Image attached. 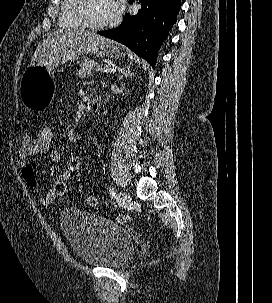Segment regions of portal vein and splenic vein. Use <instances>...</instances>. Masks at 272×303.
<instances>
[{"instance_id":"portal-vein-and-splenic-vein-1","label":"portal vein and splenic vein","mask_w":272,"mask_h":303,"mask_svg":"<svg viewBox=\"0 0 272 303\" xmlns=\"http://www.w3.org/2000/svg\"><path fill=\"white\" fill-rule=\"evenodd\" d=\"M96 71L107 72V73H114L116 71V68L106 66L104 68H98Z\"/></svg>"}]
</instances>
